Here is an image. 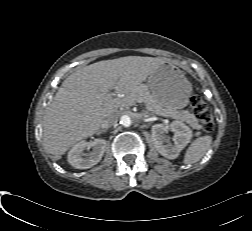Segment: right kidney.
I'll use <instances>...</instances> for the list:
<instances>
[{
    "mask_svg": "<svg viewBox=\"0 0 252 231\" xmlns=\"http://www.w3.org/2000/svg\"><path fill=\"white\" fill-rule=\"evenodd\" d=\"M107 142L104 139H95L94 141H81L74 145L68 152V162L77 169H88L96 165L105 152ZM92 148V151L86 153L85 150Z\"/></svg>",
    "mask_w": 252,
    "mask_h": 231,
    "instance_id": "ca27d5eb",
    "label": "right kidney"
}]
</instances>
